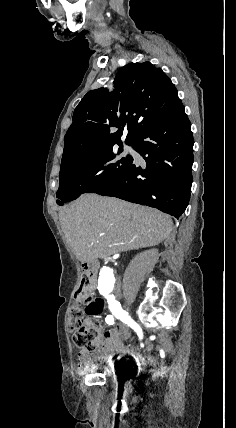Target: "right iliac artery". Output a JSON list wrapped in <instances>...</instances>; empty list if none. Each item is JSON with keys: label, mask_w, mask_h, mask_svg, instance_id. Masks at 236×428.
Returning a JSON list of instances; mask_svg holds the SVG:
<instances>
[{"label": "right iliac artery", "mask_w": 236, "mask_h": 428, "mask_svg": "<svg viewBox=\"0 0 236 428\" xmlns=\"http://www.w3.org/2000/svg\"><path fill=\"white\" fill-rule=\"evenodd\" d=\"M102 295L107 299V302L109 304V309L112 312V314L117 318L120 319L122 322L126 323L128 326H130L139 336V339L143 338V332L141 327L129 316V313L124 311L121 307V304L115 300L114 295H109V293H102Z\"/></svg>", "instance_id": "obj_1"}]
</instances>
